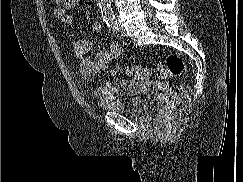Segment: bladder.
<instances>
[{"label":"bladder","instance_id":"1","mask_svg":"<svg viewBox=\"0 0 243 182\" xmlns=\"http://www.w3.org/2000/svg\"><path fill=\"white\" fill-rule=\"evenodd\" d=\"M145 99L138 92H131L128 95H114L100 99L97 107L108 113H123L130 115H140L146 108Z\"/></svg>","mask_w":243,"mask_h":182}]
</instances>
